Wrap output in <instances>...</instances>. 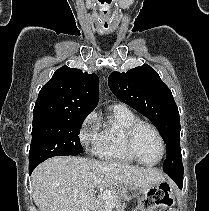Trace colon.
<instances>
[{
    "instance_id": "obj_1",
    "label": "colon",
    "mask_w": 209,
    "mask_h": 211,
    "mask_svg": "<svg viewBox=\"0 0 209 211\" xmlns=\"http://www.w3.org/2000/svg\"><path fill=\"white\" fill-rule=\"evenodd\" d=\"M170 203V190L168 185L147 192L140 200L141 208H155Z\"/></svg>"
}]
</instances>
